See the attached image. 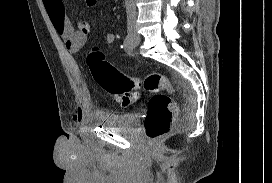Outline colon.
<instances>
[{"mask_svg": "<svg viewBox=\"0 0 272 183\" xmlns=\"http://www.w3.org/2000/svg\"><path fill=\"white\" fill-rule=\"evenodd\" d=\"M86 3L91 6L96 0H86ZM87 63L97 84L123 106L133 103L141 88L152 93L144 124L145 134L152 144L170 132L177 114V105L169 95L162 93L172 91L166 75L155 72L144 78L127 76L107 62L98 49L91 51Z\"/></svg>", "mask_w": 272, "mask_h": 183, "instance_id": "obj_1", "label": "colon"}]
</instances>
